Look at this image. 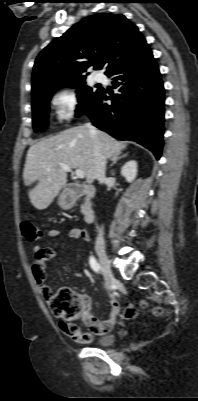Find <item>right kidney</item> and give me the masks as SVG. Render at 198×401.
<instances>
[{
    "mask_svg": "<svg viewBox=\"0 0 198 401\" xmlns=\"http://www.w3.org/2000/svg\"><path fill=\"white\" fill-rule=\"evenodd\" d=\"M121 175L127 182H133L137 176V162L135 160L126 162L121 168Z\"/></svg>",
    "mask_w": 198,
    "mask_h": 401,
    "instance_id": "ca27d5eb",
    "label": "right kidney"
}]
</instances>
